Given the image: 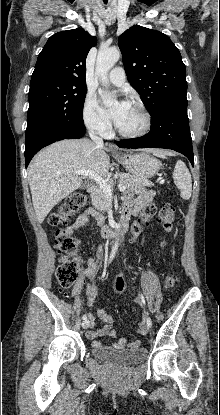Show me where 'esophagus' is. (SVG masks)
Segmentation results:
<instances>
[{
    "mask_svg": "<svg viewBox=\"0 0 220 415\" xmlns=\"http://www.w3.org/2000/svg\"><path fill=\"white\" fill-rule=\"evenodd\" d=\"M111 148H113L114 150V152L116 153L117 152V150L115 149V147L113 146V145H111Z\"/></svg>",
    "mask_w": 220,
    "mask_h": 415,
    "instance_id": "esophagus-1",
    "label": "esophagus"
}]
</instances>
